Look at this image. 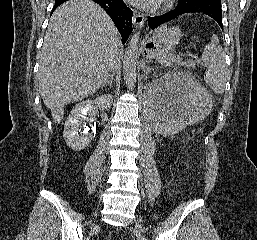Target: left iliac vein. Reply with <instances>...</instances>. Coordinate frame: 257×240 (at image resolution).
<instances>
[{"instance_id":"4c4485c4","label":"left iliac vein","mask_w":257,"mask_h":240,"mask_svg":"<svg viewBox=\"0 0 257 240\" xmlns=\"http://www.w3.org/2000/svg\"><path fill=\"white\" fill-rule=\"evenodd\" d=\"M136 227L140 230V231H143V227H142V225H141V223L140 222H136Z\"/></svg>"}]
</instances>
